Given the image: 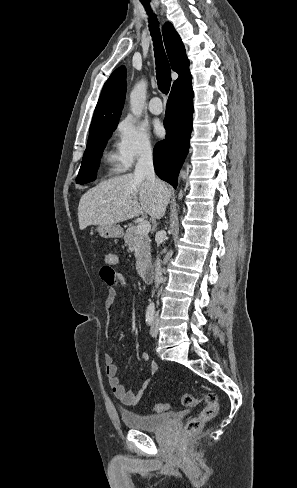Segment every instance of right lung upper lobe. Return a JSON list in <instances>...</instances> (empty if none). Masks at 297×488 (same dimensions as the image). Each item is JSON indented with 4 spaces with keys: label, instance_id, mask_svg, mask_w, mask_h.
Masks as SVG:
<instances>
[{
    "label": "right lung upper lobe",
    "instance_id": "1",
    "mask_svg": "<svg viewBox=\"0 0 297 488\" xmlns=\"http://www.w3.org/2000/svg\"><path fill=\"white\" fill-rule=\"evenodd\" d=\"M163 38L172 69L179 74L173 83L191 78L189 60L181 38L171 23L163 27ZM126 93V68L115 70L104 84L99 101L96 105L90 131L105 125H116L121 115Z\"/></svg>",
    "mask_w": 297,
    "mask_h": 488
}]
</instances>
